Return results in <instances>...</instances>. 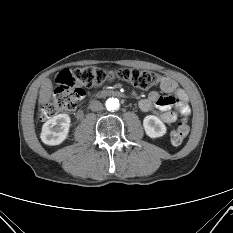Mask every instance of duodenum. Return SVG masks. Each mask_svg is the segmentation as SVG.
Segmentation results:
<instances>
[{"label":"duodenum","instance_id":"1","mask_svg":"<svg viewBox=\"0 0 233 233\" xmlns=\"http://www.w3.org/2000/svg\"><path fill=\"white\" fill-rule=\"evenodd\" d=\"M109 96H123V94L116 90H100L94 95V98H105Z\"/></svg>","mask_w":233,"mask_h":233}]
</instances>
